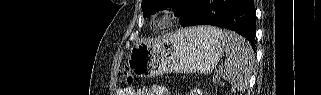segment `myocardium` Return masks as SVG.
I'll return each mask as SVG.
<instances>
[{"mask_svg": "<svg viewBox=\"0 0 321 95\" xmlns=\"http://www.w3.org/2000/svg\"><path fill=\"white\" fill-rule=\"evenodd\" d=\"M177 17V12L171 7H165L158 11L153 18V26L157 29L163 30L174 24Z\"/></svg>", "mask_w": 321, "mask_h": 95, "instance_id": "f54148a6", "label": "myocardium"}]
</instances>
